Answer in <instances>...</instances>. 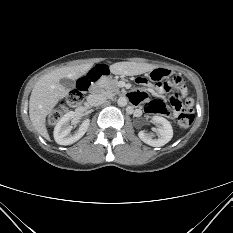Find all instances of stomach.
I'll return each mask as SVG.
<instances>
[{
  "mask_svg": "<svg viewBox=\"0 0 233 233\" xmlns=\"http://www.w3.org/2000/svg\"><path fill=\"white\" fill-rule=\"evenodd\" d=\"M169 72L170 71L165 68H155L149 72V75L151 76L152 79L153 78L157 79V78L166 77L169 74Z\"/></svg>",
  "mask_w": 233,
  "mask_h": 233,
  "instance_id": "stomach-1",
  "label": "stomach"
}]
</instances>
